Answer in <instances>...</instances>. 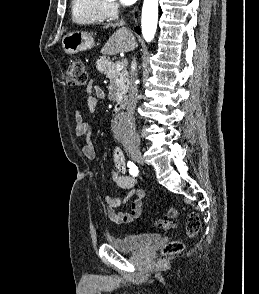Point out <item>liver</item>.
Wrapping results in <instances>:
<instances>
[{
	"instance_id": "1",
	"label": "liver",
	"mask_w": 259,
	"mask_h": 294,
	"mask_svg": "<svg viewBox=\"0 0 259 294\" xmlns=\"http://www.w3.org/2000/svg\"><path fill=\"white\" fill-rule=\"evenodd\" d=\"M110 25H107L108 28ZM137 47L134 35L126 28L114 32L102 48V52L109 55L126 53Z\"/></svg>"
}]
</instances>
